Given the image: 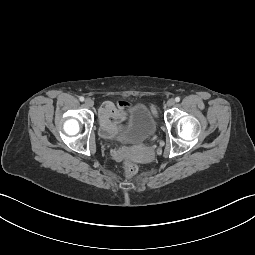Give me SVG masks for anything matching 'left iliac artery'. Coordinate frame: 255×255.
I'll use <instances>...</instances> for the list:
<instances>
[{
  "label": "left iliac artery",
  "mask_w": 255,
  "mask_h": 255,
  "mask_svg": "<svg viewBox=\"0 0 255 255\" xmlns=\"http://www.w3.org/2000/svg\"><path fill=\"white\" fill-rule=\"evenodd\" d=\"M175 101H176V102H179V101H180V98H179V97H176V98H175Z\"/></svg>",
  "instance_id": "left-iliac-artery-1"
}]
</instances>
